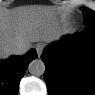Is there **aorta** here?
Segmentation results:
<instances>
[{"label":"aorta","instance_id":"aorta-1","mask_svg":"<svg viewBox=\"0 0 95 95\" xmlns=\"http://www.w3.org/2000/svg\"><path fill=\"white\" fill-rule=\"evenodd\" d=\"M28 70L31 75L41 76L45 72V64L41 59H35L30 62Z\"/></svg>","mask_w":95,"mask_h":95}]
</instances>
